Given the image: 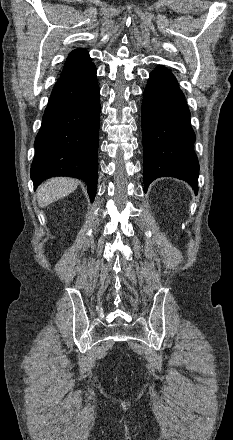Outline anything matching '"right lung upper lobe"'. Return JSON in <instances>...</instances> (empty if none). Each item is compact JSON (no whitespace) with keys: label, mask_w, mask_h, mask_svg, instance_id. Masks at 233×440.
<instances>
[{"label":"right lung upper lobe","mask_w":233,"mask_h":440,"mask_svg":"<svg viewBox=\"0 0 233 440\" xmlns=\"http://www.w3.org/2000/svg\"><path fill=\"white\" fill-rule=\"evenodd\" d=\"M93 65L94 64L86 50L76 49L69 54L60 78L74 75L92 67Z\"/></svg>","instance_id":"obj_1"}]
</instances>
